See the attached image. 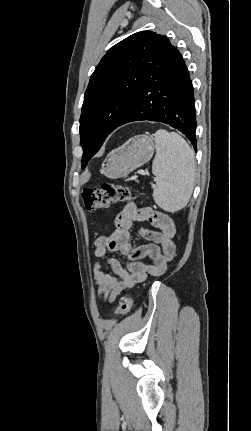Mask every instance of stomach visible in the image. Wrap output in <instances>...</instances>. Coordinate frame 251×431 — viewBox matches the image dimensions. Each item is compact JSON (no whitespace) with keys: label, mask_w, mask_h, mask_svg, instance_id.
Returning a JSON list of instances; mask_svg holds the SVG:
<instances>
[{"label":"stomach","mask_w":251,"mask_h":431,"mask_svg":"<svg viewBox=\"0 0 251 431\" xmlns=\"http://www.w3.org/2000/svg\"><path fill=\"white\" fill-rule=\"evenodd\" d=\"M154 148L151 137L135 136L107 155L101 173L111 179L122 178L148 162L153 156Z\"/></svg>","instance_id":"stomach-1"}]
</instances>
